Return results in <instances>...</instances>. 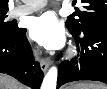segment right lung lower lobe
<instances>
[{
    "instance_id": "obj_1",
    "label": "right lung lower lobe",
    "mask_w": 107,
    "mask_h": 89,
    "mask_svg": "<svg viewBox=\"0 0 107 89\" xmlns=\"http://www.w3.org/2000/svg\"><path fill=\"white\" fill-rule=\"evenodd\" d=\"M26 29L6 34L0 31V73H6L23 84L39 89L43 72L39 63H33L32 50L25 37Z\"/></svg>"
}]
</instances>
